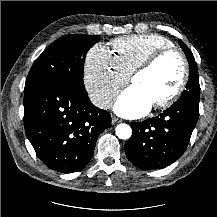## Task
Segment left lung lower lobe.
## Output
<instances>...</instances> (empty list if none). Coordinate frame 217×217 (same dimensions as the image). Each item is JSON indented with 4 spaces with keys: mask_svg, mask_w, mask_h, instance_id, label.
<instances>
[{
    "mask_svg": "<svg viewBox=\"0 0 217 217\" xmlns=\"http://www.w3.org/2000/svg\"><path fill=\"white\" fill-rule=\"evenodd\" d=\"M198 116L199 101L179 99L159 116L132 123L127 158L143 170L167 167L185 152Z\"/></svg>",
    "mask_w": 217,
    "mask_h": 217,
    "instance_id": "0a47b994",
    "label": "left lung lower lobe"
}]
</instances>
